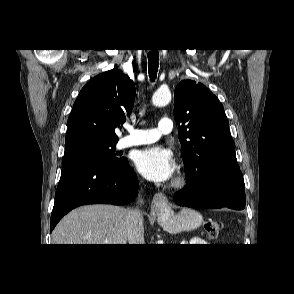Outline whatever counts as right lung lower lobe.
I'll return each mask as SVG.
<instances>
[{"label":"right lung lower lobe","instance_id":"1","mask_svg":"<svg viewBox=\"0 0 294 294\" xmlns=\"http://www.w3.org/2000/svg\"><path fill=\"white\" fill-rule=\"evenodd\" d=\"M138 179L129 166L80 161L62 167L51 214L50 232L72 209L86 204H127L138 191Z\"/></svg>","mask_w":294,"mask_h":294}]
</instances>
